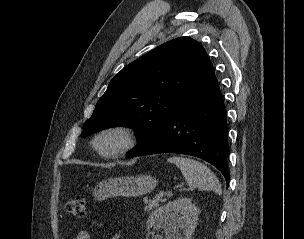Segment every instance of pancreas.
I'll return each instance as SVG.
<instances>
[{
    "instance_id": "cf45deb5",
    "label": "pancreas",
    "mask_w": 304,
    "mask_h": 239,
    "mask_svg": "<svg viewBox=\"0 0 304 239\" xmlns=\"http://www.w3.org/2000/svg\"><path fill=\"white\" fill-rule=\"evenodd\" d=\"M162 195L156 196L153 200H149L144 208L145 212H151L154 208L159 206V201Z\"/></svg>"
}]
</instances>
